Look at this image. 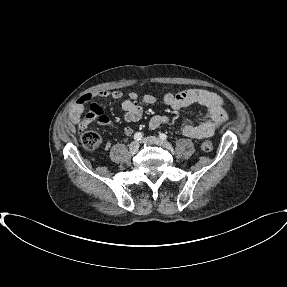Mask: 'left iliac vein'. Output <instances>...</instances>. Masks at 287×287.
<instances>
[{"label":"left iliac vein","mask_w":287,"mask_h":287,"mask_svg":"<svg viewBox=\"0 0 287 287\" xmlns=\"http://www.w3.org/2000/svg\"><path fill=\"white\" fill-rule=\"evenodd\" d=\"M142 142L148 143V144H156V145L162 146V147L167 148V149L171 148L170 143H168L167 141L161 140L155 136L146 137L142 140Z\"/></svg>","instance_id":"obj_1"}]
</instances>
